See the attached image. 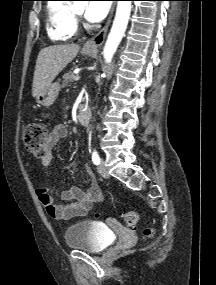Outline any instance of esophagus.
I'll return each mask as SVG.
<instances>
[{
    "instance_id": "esophagus-1",
    "label": "esophagus",
    "mask_w": 216,
    "mask_h": 285,
    "mask_svg": "<svg viewBox=\"0 0 216 285\" xmlns=\"http://www.w3.org/2000/svg\"><path fill=\"white\" fill-rule=\"evenodd\" d=\"M113 12H114V6H112V8H111L109 17H108L107 22L104 25V27L95 36H93L91 39H89L84 44V46H83L84 49L93 50V49H97L98 47H100L102 45V43L105 39V36L107 34L108 28L111 24Z\"/></svg>"
}]
</instances>
